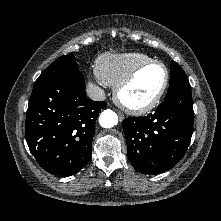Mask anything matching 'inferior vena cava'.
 I'll return each mask as SVG.
<instances>
[{"mask_svg":"<svg viewBox=\"0 0 221 221\" xmlns=\"http://www.w3.org/2000/svg\"><path fill=\"white\" fill-rule=\"evenodd\" d=\"M86 92L88 97L95 101H103L106 98L104 90L93 84L88 85Z\"/></svg>","mask_w":221,"mask_h":221,"instance_id":"obj_1","label":"inferior vena cava"}]
</instances>
